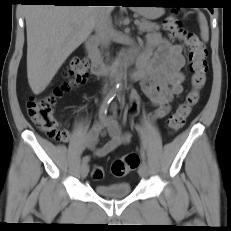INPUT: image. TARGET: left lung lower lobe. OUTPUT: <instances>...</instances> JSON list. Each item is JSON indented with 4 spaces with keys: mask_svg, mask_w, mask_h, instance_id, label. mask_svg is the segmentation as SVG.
Masks as SVG:
<instances>
[{
    "mask_svg": "<svg viewBox=\"0 0 231 231\" xmlns=\"http://www.w3.org/2000/svg\"><path fill=\"white\" fill-rule=\"evenodd\" d=\"M209 10L213 13V8L212 7H209Z\"/></svg>",
    "mask_w": 231,
    "mask_h": 231,
    "instance_id": "0a47b994",
    "label": "left lung lower lobe"
}]
</instances>
